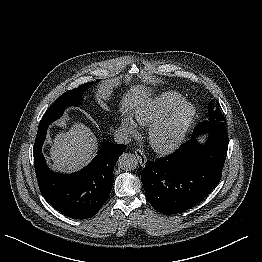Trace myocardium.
Returning <instances> with one entry per match:
<instances>
[{
  "label": "myocardium",
  "mask_w": 262,
  "mask_h": 262,
  "mask_svg": "<svg viewBox=\"0 0 262 262\" xmlns=\"http://www.w3.org/2000/svg\"><path fill=\"white\" fill-rule=\"evenodd\" d=\"M196 116V107L189 101H183L158 121L149 130V141L153 149L159 154H170L183 143L186 134ZM170 130V139L166 142L160 140V136Z\"/></svg>",
  "instance_id": "obj_1"
}]
</instances>
